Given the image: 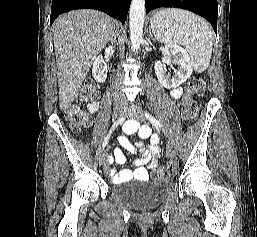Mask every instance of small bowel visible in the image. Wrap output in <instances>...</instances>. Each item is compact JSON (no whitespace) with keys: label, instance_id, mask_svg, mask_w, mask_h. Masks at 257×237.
I'll list each match as a JSON object with an SVG mask.
<instances>
[{"label":"small bowel","instance_id":"c3829d8e","mask_svg":"<svg viewBox=\"0 0 257 237\" xmlns=\"http://www.w3.org/2000/svg\"><path fill=\"white\" fill-rule=\"evenodd\" d=\"M182 95V90L180 88L172 91V97L175 99L180 98ZM99 103H93L89 106V110L94 112L97 110ZM123 130L126 134L137 133L140 138L146 139L150 138L151 144L149 146H145L142 142H137L135 146H131L127 143L125 137L120 138L121 144L130 151H138L140 157L136 160L135 164L137 168L135 170H122L116 172L111 170V177L114 183H123L127 180L135 178L140 181H145L149 179L148 170L144 167L145 164L150 163L151 166L156 165V159L160 154V150L158 148V138L155 136H151V130L147 126H139L135 121H128ZM125 160L124 151L122 148H116L109 158V162H116L118 164L123 163Z\"/></svg>","mask_w":257,"mask_h":237}]
</instances>
